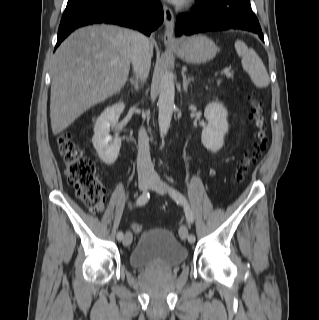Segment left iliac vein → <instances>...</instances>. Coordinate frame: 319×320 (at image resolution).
Segmentation results:
<instances>
[{"label": "left iliac vein", "mask_w": 319, "mask_h": 320, "mask_svg": "<svg viewBox=\"0 0 319 320\" xmlns=\"http://www.w3.org/2000/svg\"><path fill=\"white\" fill-rule=\"evenodd\" d=\"M150 188L152 190H155L156 192H158L159 194H164L168 191L169 187L168 185L163 182L161 179H159L158 177H154L151 180V184H150ZM179 235L180 238L182 240H186L188 237V231L186 226H182L179 230Z\"/></svg>", "instance_id": "left-iliac-vein-1"}]
</instances>
